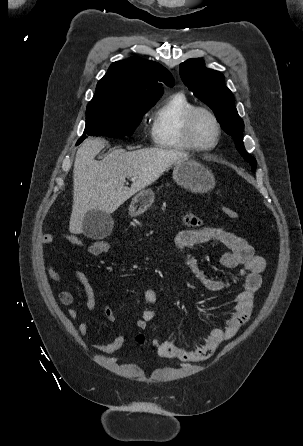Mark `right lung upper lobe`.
Wrapping results in <instances>:
<instances>
[{"instance_id":"cb5924a9","label":"right lung upper lobe","mask_w":303,"mask_h":446,"mask_svg":"<svg viewBox=\"0 0 303 446\" xmlns=\"http://www.w3.org/2000/svg\"><path fill=\"white\" fill-rule=\"evenodd\" d=\"M162 84L173 86L174 79L161 64L142 58L117 61L98 82L87 108L150 107L162 96Z\"/></svg>"}]
</instances>
